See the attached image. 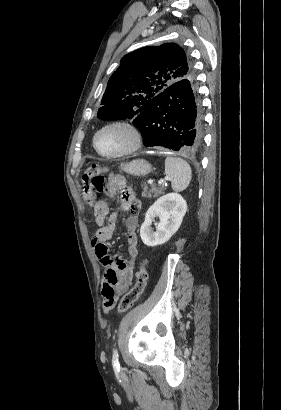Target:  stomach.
Listing matches in <instances>:
<instances>
[{"label":"stomach","mask_w":281,"mask_h":410,"mask_svg":"<svg viewBox=\"0 0 281 410\" xmlns=\"http://www.w3.org/2000/svg\"><path fill=\"white\" fill-rule=\"evenodd\" d=\"M121 169L134 176H145L152 171V166L144 159L133 160L121 165Z\"/></svg>","instance_id":"obj_1"}]
</instances>
